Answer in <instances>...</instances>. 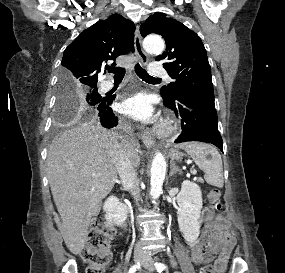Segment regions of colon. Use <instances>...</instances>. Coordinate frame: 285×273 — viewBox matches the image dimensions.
<instances>
[{"instance_id": "colon-1", "label": "colon", "mask_w": 285, "mask_h": 273, "mask_svg": "<svg viewBox=\"0 0 285 273\" xmlns=\"http://www.w3.org/2000/svg\"><path fill=\"white\" fill-rule=\"evenodd\" d=\"M220 190L217 188L209 192V201L215 211L222 208ZM114 231L101 222L95 223L88 234L81 256L87 264V273H106L112 261L111 241ZM201 273H216L212 265H207Z\"/></svg>"}]
</instances>
